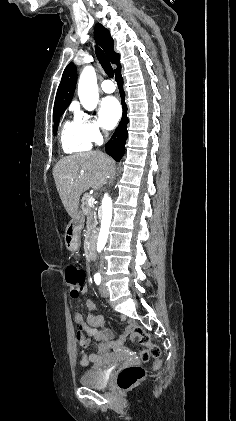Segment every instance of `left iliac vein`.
Masks as SVG:
<instances>
[{
    "instance_id": "1",
    "label": "left iliac vein",
    "mask_w": 236,
    "mask_h": 421,
    "mask_svg": "<svg viewBox=\"0 0 236 421\" xmlns=\"http://www.w3.org/2000/svg\"><path fill=\"white\" fill-rule=\"evenodd\" d=\"M100 294H101L102 297H107L108 294H109L107 288L105 287V280L104 279H103L102 285L100 287Z\"/></svg>"
}]
</instances>
